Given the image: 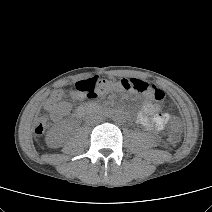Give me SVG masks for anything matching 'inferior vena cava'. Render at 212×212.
Wrapping results in <instances>:
<instances>
[{
	"instance_id": "602c4592",
	"label": "inferior vena cava",
	"mask_w": 212,
	"mask_h": 212,
	"mask_svg": "<svg viewBox=\"0 0 212 212\" xmlns=\"http://www.w3.org/2000/svg\"><path fill=\"white\" fill-rule=\"evenodd\" d=\"M99 121H100V120H99V118H97V117L88 116V117L86 118V122H87L88 124L97 123V122H99Z\"/></svg>"
}]
</instances>
